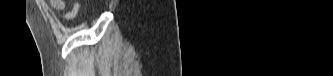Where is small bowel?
<instances>
[{
  "label": "small bowel",
  "instance_id": "1",
  "mask_svg": "<svg viewBox=\"0 0 333 76\" xmlns=\"http://www.w3.org/2000/svg\"><path fill=\"white\" fill-rule=\"evenodd\" d=\"M49 4L51 5V7L53 9L58 10V11H63L66 8L67 1L50 0ZM80 8H81V4L78 1H72L70 10L63 13L61 15V18L65 21L73 20L77 16L78 12L80 11Z\"/></svg>",
  "mask_w": 333,
  "mask_h": 76
}]
</instances>
